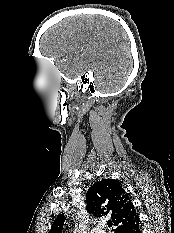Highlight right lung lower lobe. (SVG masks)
<instances>
[{
    "label": "right lung lower lobe",
    "instance_id": "98d812e1",
    "mask_svg": "<svg viewBox=\"0 0 174 233\" xmlns=\"http://www.w3.org/2000/svg\"><path fill=\"white\" fill-rule=\"evenodd\" d=\"M126 233H141L140 225H137L136 227H134L130 231H127Z\"/></svg>",
    "mask_w": 174,
    "mask_h": 233
}]
</instances>
